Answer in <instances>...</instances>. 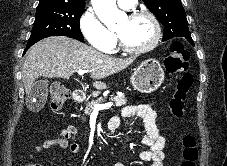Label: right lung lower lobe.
<instances>
[{
	"label": "right lung lower lobe",
	"instance_id": "right-lung-lower-lobe-1",
	"mask_svg": "<svg viewBox=\"0 0 227 166\" xmlns=\"http://www.w3.org/2000/svg\"><path fill=\"white\" fill-rule=\"evenodd\" d=\"M33 44H27V46H26V49H25V51H24V53L32 46Z\"/></svg>",
	"mask_w": 227,
	"mask_h": 166
}]
</instances>
